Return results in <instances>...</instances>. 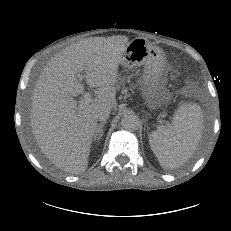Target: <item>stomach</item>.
Masks as SVG:
<instances>
[{
    "label": "stomach",
    "instance_id": "0dacf381",
    "mask_svg": "<svg viewBox=\"0 0 231 231\" xmlns=\"http://www.w3.org/2000/svg\"><path fill=\"white\" fill-rule=\"evenodd\" d=\"M164 51L143 37L129 41L120 64L125 68L144 67L140 80L141 94L151 109L158 108L164 100L167 84Z\"/></svg>",
    "mask_w": 231,
    "mask_h": 231
}]
</instances>
